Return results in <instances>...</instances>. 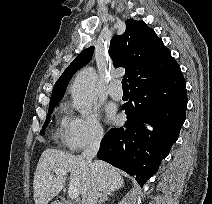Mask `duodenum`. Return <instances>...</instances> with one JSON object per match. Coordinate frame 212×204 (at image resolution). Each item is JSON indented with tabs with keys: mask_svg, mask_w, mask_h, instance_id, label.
Segmentation results:
<instances>
[{
	"mask_svg": "<svg viewBox=\"0 0 212 204\" xmlns=\"http://www.w3.org/2000/svg\"><path fill=\"white\" fill-rule=\"evenodd\" d=\"M58 204H73V203L67 201V200L64 199V198H60V199L58 200Z\"/></svg>",
	"mask_w": 212,
	"mask_h": 204,
	"instance_id": "410a0bca",
	"label": "duodenum"
}]
</instances>
